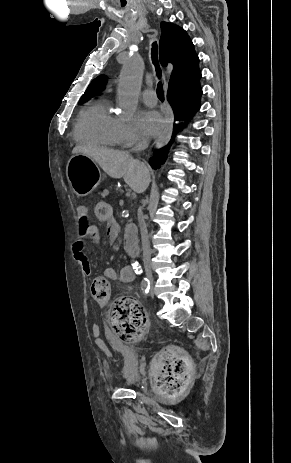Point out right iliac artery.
<instances>
[{"instance_id": "82829eb1", "label": "right iliac artery", "mask_w": 291, "mask_h": 463, "mask_svg": "<svg viewBox=\"0 0 291 463\" xmlns=\"http://www.w3.org/2000/svg\"><path fill=\"white\" fill-rule=\"evenodd\" d=\"M150 289V281L147 278H144L141 281V290L143 291L144 294H148Z\"/></svg>"}]
</instances>
